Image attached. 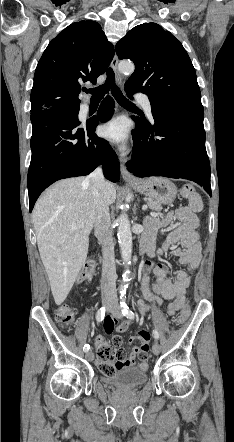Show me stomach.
Listing matches in <instances>:
<instances>
[{
    "label": "stomach",
    "instance_id": "1",
    "mask_svg": "<svg viewBox=\"0 0 234 442\" xmlns=\"http://www.w3.org/2000/svg\"><path fill=\"white\" fill-rule=\"evenodd\" d=\"M132 187L162 204H171L177 195L176 186L166 178L151 177L142 179L138 183L132 184Z\"/></svg>",
    "mask_w": 234,
    "mask_h": 442
}]
</instances>
